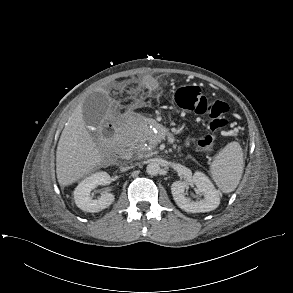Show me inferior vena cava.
Segmentation results:
<instances>
[{"label": "inferior vena cava", "instance_id": "602c4592", "mask_svg": "<svg viewBox=\"0 0 293 293\" xmlns=\"http://www.w3.org/2000/svg\"><path fill=\"white\" fill-rule=\"evenodd\" d=\"M129 168H130V167H121L120 170H121V171H126V170H128Z\"/></svg>", "mask_w": 293, "mask_h": 293}]
</instances>
